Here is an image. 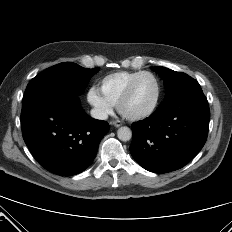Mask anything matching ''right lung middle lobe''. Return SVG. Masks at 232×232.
Here are the masks:
<instances>
[{
    "instance_id": "dd1d6c3e",
    "label": "right lung middle lobe",
    "mask_w": 232,
    "mask_h": 232,
    "mask_svg": "<svg viewBox=\"0 0 232 232\" xmlns=\"http://www.w3.org/2000/svg\"><path fill=\"white\" fill-rule=\"evenodd\" d=\"M98 71L99 68H83L71 62L52 66L29 82L23 96V102L45 93L66 92L80 95L88 85L91 77Z\"/></svg>"
}]
</instances>
